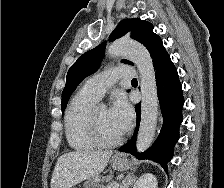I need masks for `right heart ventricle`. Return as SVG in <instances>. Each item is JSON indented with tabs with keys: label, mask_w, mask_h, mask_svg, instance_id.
Segmentation results:
<instances>
[{
	"label": "right heart ventricle",
	"mask_w": 224,
	"mask_h": 188,
	"mask_svg": "<svg viewBox=\"0 0 224 188\" xmlns=\"http://www.w3.org/2000/svg\"><path fill=\"white\" fill-rule=\"evenodd\" d=\"M97 100L81 89L70 102L64 123L67 142L74 150L88 151L96 147L89 134L87 120Z\"/></svg>",
	"instance_id": "obj_1"
}]
</instances>
